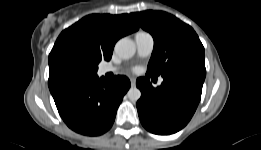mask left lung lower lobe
<instances>
[{
  "mask_svg": "<svg viewBox=\"0 0 261 150\" xmlns=\"http://www.w3.org/2000/svg\"><path fill=\"white\" fill-rule=\"evenodd\" d=\"M206 71L181 68L162 76V84L154 88L150 75L140 77L136 86L141 91L137 110L142 125L151 133L173 134L181 130L193 116L201 99Z\"/></svg>",
  "mask_w": 261,
  "mask_h": 150,
  "instance_id": "left-lung-lower-lobe-1",
  "label": "left lung lower lobe"
}]
</instances>
